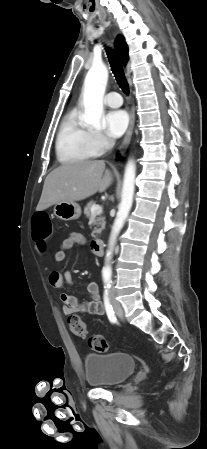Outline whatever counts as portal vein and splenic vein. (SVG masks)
I'll list each match as a JSON object with an SVG mask.
<instances>
[{"label":"portal vein and splenic vein","instance_id":"portal-vein-and-splenic-vein-1","mask_svg":"<svg viewBox=\"0 0 207 449\" xmlns=\"http://www.w3.org/2000/svg\"><path fill=\"white\" fill-rule=\"evenodd\" d=\"M91 212H92V214H95V215L100 214V213H102V207L99 205H93L91 208Z\"/></svg>","mask_w":207,"mask_h":449}]
</instances>
